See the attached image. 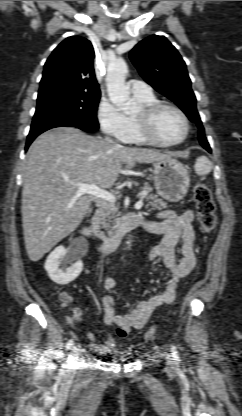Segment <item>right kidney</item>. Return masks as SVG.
I'll return each mask as SVG.
<instances>
[{
  "instance_id": "ca27d5eb",
  "label": "right kidney",
  "mask_w": 242,
  "mask_h": 416,
  "mask_svg": "<svg viewBox=\"0 0 242 416\" xmlns=\"http://www.w3.org/2000/svg\"><path fill=\"white\" fill-rule=\"evenodd\" d=\"M82 269L83 263L76 259L73 250H67L63 246L56 247L45 262V270L50 279L60 285L68 284L76 279Z\"/></svg>"
}]
</instances>
